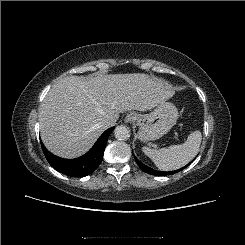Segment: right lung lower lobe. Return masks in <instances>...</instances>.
Here are the masks:
<instances>
[{
  "mask_svg": "<svg viewBox=\"0 0 245 245\" xmlns=\"http://www.w3.org/2000/svg\"><path fill=\"white\" fill-rule=\"evenodd\" d=\"M114 128L115 127L107 129L85 155L76 159L69 160L54 156L46 150L42 141L41 147L47 161L54 169L71 177H84L96 170L100 165L106 142Z\"/></svg>",
  "mask_w": 245,
  "mask_h": 245,
  "instance_id": "obj_1",
  "label": "right lung lower lobe"
}]
</instances>
